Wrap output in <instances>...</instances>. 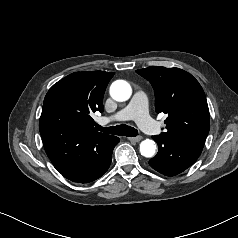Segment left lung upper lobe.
I'll return each instance as SVG.
<instances>
[{"instance_id":"obj_1","label":"left lung upper lobe","mask_w":238,"mask_h":238,"mask_svg":"<svg viewBox=\"0 0 238 238\" xmlns=\"http://www.w3.org/2000/svg\"><path fill=\"white\" fill-rule=\"evenodd\" d=\"M136 72L152 84L156 112L168 116L165 120L167 130L157 137L203 149L210 117L206 96L199 82L179 68L150 66Z\"/></svg>"}]
</instances>
